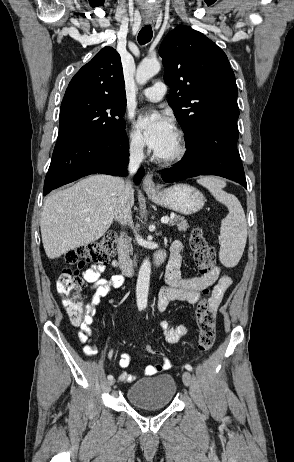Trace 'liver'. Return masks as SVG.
Masks as SVG:
<instances>
[{
  "mask_svg": "<svg viewBox=\"0 0 294 462\" xmlns=\"http://www.w3.org/2000/svg\"><path fill=\"white\" fill-rule=\"evenodd\" d=\"M122 189V179L96 174L49 196L40 221L48 258H58L102 237L113 222Z\"/></svg>",
  "mask_w": 294,
  "mask_h": 462,
  "instance_id": "1",
  "label": "liver"
}]
</instances>
